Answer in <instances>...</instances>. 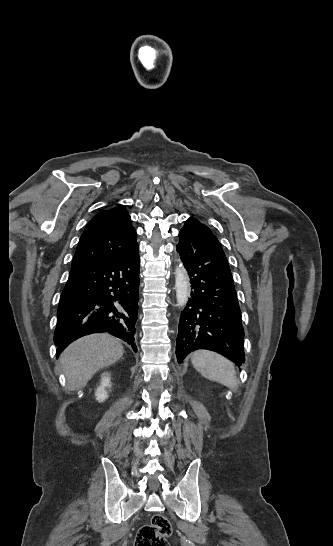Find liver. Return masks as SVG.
Returning <instances> with one entry per match:
<instances>
[{
  "instance_id": "liver-1",
  "label": "liver",
  "mask_w": 333,
  "mask_h": 546,
  "mask_svg": "<svg viewBox=\"0 0 333 546\" xmlns=\"http://www.w3.org/2000/svg\"><path fill=\"white\" fill-rule=\"evenodd\" d=\"M124 353L118 339L106 334H93L69 345L60 356L66 386L78 390L100 369L116 363Z\"/></svg>"
}]
</instances>
